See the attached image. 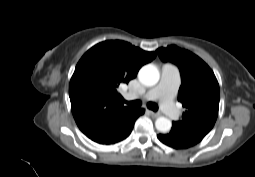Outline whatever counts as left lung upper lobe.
Instances as JSON below:
<instances>
[{"label": "left lung upper lobe", "mask_w": 255, "mask_h": 177, "mask_svg": "<svg viewBox=\"0 0 255 177\" xmlns=\"http://www.w3.org/2000/svg\"><path fill=\"white\" fill-rule=\"evenodd\" d=\"M156 52L162 61L177 65L181 73L178 100L186 111L173 124L203 139L213 128L219 110V84L213 71L198 56L175 45Z\"/></svg>", "instance_id": "1"}]
</instances>
